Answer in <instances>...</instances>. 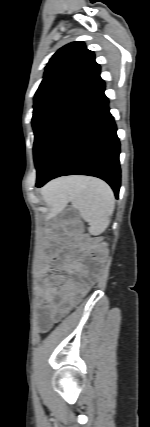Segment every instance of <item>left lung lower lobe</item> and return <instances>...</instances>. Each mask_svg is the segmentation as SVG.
<instances>
[{
	"label": "left lung lower lobe",
	"mask_w": 150,
	"mask_h": 427,
	"mask_svg": "<svg viewBox=\"0 0 150 427\" xmlns=\"http://www.w3.org/2000/svg\"><path fill=\"white\" fill-rule=\"evenodd\" d=\"M99 77L35 131L37 187L71 174L105 180L118 198L120 143Z\"/></svg>",
	"instance_id": "left-lung-lower-lobe-1"
}]
</instances>
